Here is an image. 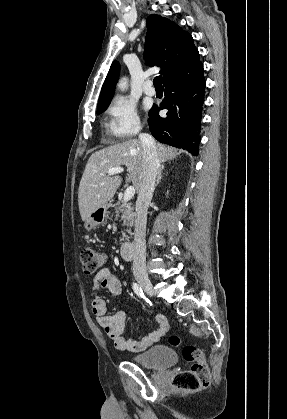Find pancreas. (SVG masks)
<instances>
[{"mask_svg": "<svg viewBox=\"0 0 287 419\" xmlns=\"http://www.w3.org/2000/svg\"><path fill=\"white\" fill-rule=\"evenodd\" d=\"M115 208L116 217H120L121 222L123 223V226L127 227V232L131 233V227L133 226L134 222V208L132 207V204L127 201H118L116 204L111 205ZM126 239L128 240L129 237L126 236L123 233L122 241Z\"/></svg>", "mask_w": 287, "mask_h": 419, "instance_id": "cf45deb5", "label": "pancreas"}]
</instances>
